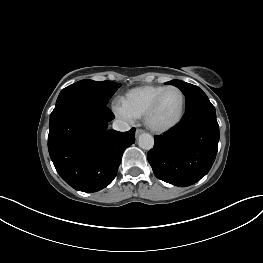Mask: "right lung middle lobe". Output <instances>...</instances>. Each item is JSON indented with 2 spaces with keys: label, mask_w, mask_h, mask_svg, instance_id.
I'll use <instances>...</instances> for the list:
<instances>
[{
  "label": "right lung middle lobe",
  "mask_w": 263,
  "mask_h": 263,
  "mask_svg": "<svg viewBox=\"0 0 263 263\" xmlns=\"http://www.w3.org/2000/svg\"><path fill=\"white\" fill-rule=\"evenodd\" d=\"M120 85L112 81H93L89 79L78 81L60 92L55 108L70 101H85L107 105L108 100Z\"/></svg>",
  "instance_id": "dd1d6c3e"
}]
</instances>
